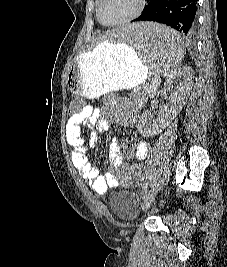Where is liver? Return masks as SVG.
I'll use <instances>...</instances> for the list:
<instances>
[{"instance_id":"liver-1","label":"liver","mask_w":227,"mask_h":267,"mask_svg":"<svg viewBox=\"0 0 227 267\" xmlns=\"http://www.w3.org/2000/svg\"><path fill=\"white\" fill-rule=\"evenodd\" d=\"M115 33H118V30H115V29H113V30H111V31H109L105 36H103L102 38H101V40H104L103 42H101V43H104V42H106V36H115Z\"/></svg>"}]
</instances>
